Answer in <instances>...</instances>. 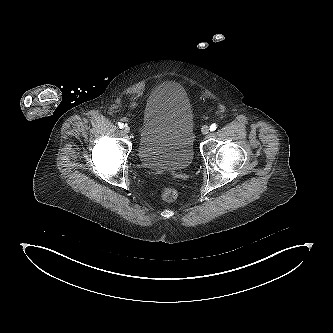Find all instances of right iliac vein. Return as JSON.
<instances>
[{
    "label": "right iliac vein",
    "instance_id": "1",
    "mask_svg": "<svg viewBox=\"0 0 333 333\" xmlns=\"http://www.w3.org/2000/svg\"><path fill=\"white\" fill-rule=\"evenodd\" d=\"M124 132L125 133H129L130 132V128L127 125L124 126Z\"/></svg>",
    "mask_w": 333,
    "mask_h": 333
}]
</instances>
